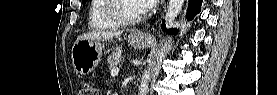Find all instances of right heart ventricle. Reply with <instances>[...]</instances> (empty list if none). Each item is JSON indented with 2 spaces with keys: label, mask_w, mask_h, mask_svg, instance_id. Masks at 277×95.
<instances>
[{
  "label": "right heart ventricle",
  "mask_w": 277,
  "mask_h": 95,
  "mask_svg": "<svg viewBox=\"0 0 277 95\" xmlns=\"http://www.w3.org/2000/svg\"><path fill=\"white\" fill-rule=\"evenodd\" d=\"M108 0H92L89 11V26L94 29H113L119 26L105 16Z\"/></svg>",
  "instance_id": "right-heart-ventricle-1"
}]
</instances>
